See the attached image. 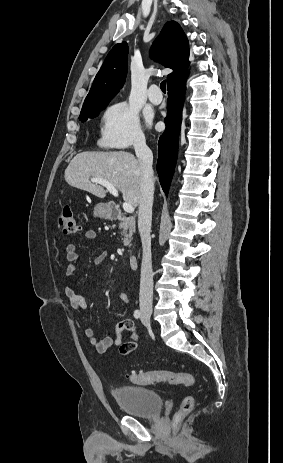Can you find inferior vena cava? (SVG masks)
<instances>
[{
    "instance_id": "602c4592",
    "label": "inferior vena cava",
    "mask_w": 283,
    "mask_h": 463,
    "mask_svg": "<svg viewBox=\"0 0 283 463\" xmlns=\"http://www.w3.org/2000/svg\"><path fill=\"white\" fill-rule=\"evenodd\" d=\"M133 146L142 167L141 197L138 210V230L143 249L139 306L141 311L151 312L153 300V271L150 232L154 194V174L152 169L153 154L147 146L145 138L135 139Z\"/></svg>"
}]
</instances>
